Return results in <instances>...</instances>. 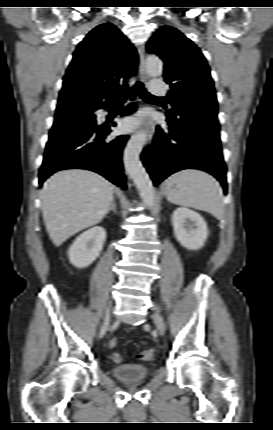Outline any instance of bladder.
<instances>
[{
    "label": "bladder",
    "mask_w": 273,
    "mask_h": 430,
    "mask_svg": "<svg viewBox=\"0 0 273 430\" xmlns=\"http://www.w3.org/2000/svg\"><path fill=\"white\" fill-rule=\"evenodd\" d=\"M112 375L123 383H136L148 378V368L141 364H122L111 370Z\"/></svg>",
    "instance_id": "1"
}]
</instances>
